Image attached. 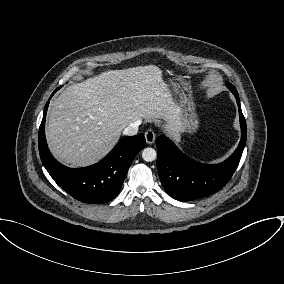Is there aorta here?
<instances>
[{
  "label": "aorta",
  "instance_id": "obj_1",
  "mask_svg": "<svg viewBox=\"0 0 284 284\" xmlns=\"http://www.w3.org/2000/svg\"><path fill=\"white\" fill-rule=\"evenodd\" d=\"M157 157V153L155 151V149L153 148H144L142 151V158L143 160H145L146 162H152L156 159Z\"/></svg>",
  "mask_w": 284,
  "mask_h": 284
}]
</instances>
